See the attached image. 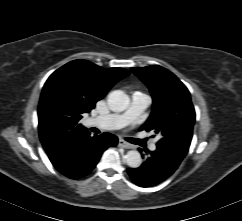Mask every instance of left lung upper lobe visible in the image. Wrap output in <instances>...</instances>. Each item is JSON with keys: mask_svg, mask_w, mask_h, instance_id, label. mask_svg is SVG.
<instances>
[{"mask_svg": "<svg viewBox=\"0 0 242 221\" xmlns=\"http://www.w3.org/2000/svg\"><path fill=\"white\" fill-rule=\"evenodd\" d=\"M150 89L152 113L140 130L161 136L157 146L186 155L192 139L195 111L185 85L169 70L152 65L131 68Z\"/></svg>", "mask_w": 242, "mask_h": 221, "instance_id": "5c2ea615", "label": "left lung upper lobe"}]
</instances>
